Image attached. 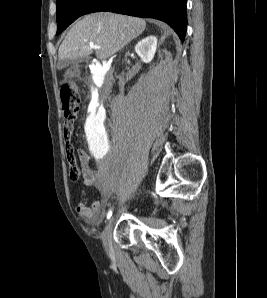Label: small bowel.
Segmentation results:
<instances>
[{"label": "small bowel", "mask_w": 267, "mask_h": 298, "mask_svg": "<svg viewBox=\"0 0 267 298\" xmlns=\"http://www.w3.org/2000/svg\"><path fill=\"white\" fill-rule=\"evenodd\" d=\"M83 183L86 187H92L95 181V172L88 166L86 162L83 164L82 169ZM111 197V192H104L101 201H94L88 205L84 200L81 201L76 211L78 215L89 224H98L101 219L102 212Z\"/></svg>", "instance_id": "small-bowel-1"}]
</instances>
